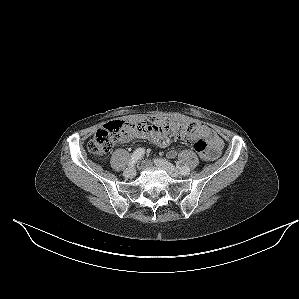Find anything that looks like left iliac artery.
<instances>
[{
  "mask_svg": "<svg viewBox=\"0 0 299 299\" xmlns=\"http://www.w3.org/2000/svg\"><path fill=\"white\" fill-rule=\"evenodd\" d=\"M180 171L182 175H188L190 173V169L187 166L181 167Z\"/></svg>",
  "mask_w": 299,
  "mask_h": 299,
  "instance_id": "left-iliac-artery-1",
  "label": "left iliac artery"
}]
</instances>
